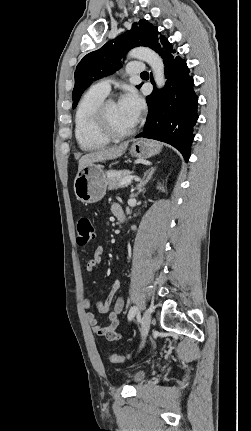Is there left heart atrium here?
Segmentation results:
<instances>
[{
  "mask_svg": "<svg viewBox=\"0 0 251 431\" xmlns=\"http://www.w3.org/2000/svg\"><path fill=\"white\" fill-rule=\"evenodd\" d=\"M118 103L136 123L144 108V102L139 94L134 89H128Z\"/></svg>",
  "mask_w": 251,
  "mask_h": 431,
  "instance_id": "1",
  "label": "left heart atrium"
}]
</instances>
